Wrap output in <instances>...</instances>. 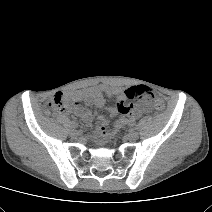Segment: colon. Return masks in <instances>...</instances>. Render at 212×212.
<instances>
[{
	"label": "colon",
	"mask_w": 212,
	"mask_h": 212,
	"mask_svg": "<svg viewBox=\"0 0 212 212\" xmlns=\"http://www.w3.org/2000/svg\"><path fill=\"white\" fill-rule=\"evenodd\" d=\"M127 96L130 99L146 98L154 102L155 108L159 111L165 109L164 102L157 98L154 92L146 86H133L127 90ZM69 108L68 103L61 97L55 96L45 107L47 114H56L66 111Z\"/></svg>",
	"instance_id": "5ec220e1"
}]
</instances>
